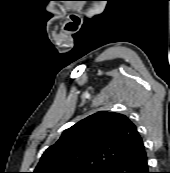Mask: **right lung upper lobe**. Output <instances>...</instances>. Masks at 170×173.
Returning a JSON list of instances; mask_svg holds the SVG:
<instances>
[{
	"label": "right lung upper lobe",
	"instance_id": "cb5924a9",
	"mask_svg": "<svg viewBox=\"0 0 170 173\" xmlns=\"http://www.w3.org/2000/svg\"><path fill=\"white\" fill-rule=\"evenodd\" d=\"M143 146L135 124L127 116L101 111L66 129L44 152L33 173L105 170Z\"/></svg>",
	"mask_w": 170,
	"mask_h": 173
}]
</instances>
